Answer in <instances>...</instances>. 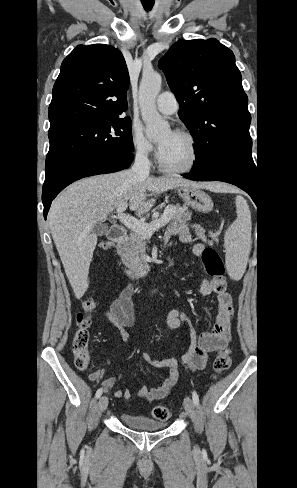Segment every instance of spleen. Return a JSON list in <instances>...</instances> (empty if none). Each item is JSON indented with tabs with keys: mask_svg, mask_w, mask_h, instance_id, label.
Instances as JSON below:
<instances>
[{
	"mask_svg": "<svg viewBox=\"0 0 297 488\" xmlns=\"http://www.w3.org/2000/svg\"><path fill=\"white\" fill-rule=\"evenodd\" d=\"M237 218L225 232L226 267L233 280H240L246 270L251 250V215L246 200L236 196Z\"/></svg>",
	"mask_w": 297,
	"mask_h": 488,
	"instance_id": "spleen-1",
	"label": "spleen"
}]
</instances>
